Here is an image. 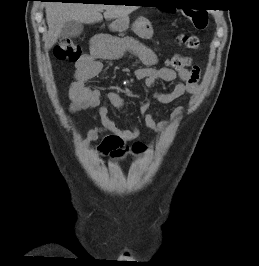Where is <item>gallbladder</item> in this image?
<instances>
[{"instance_id": "obj_1", "label": "gallbladder", "mask_w": 259, "mask_h": 266, "mask_svg": "<svg viewBox=\"0 0 259 266\" xmlns=\"http://www.w3.org/2000/svg\"><path fill=\"white\" fill-rule=\"evenodd\" d=\"M83 31V25L77 21H69L62 28L60 37L71 38L79 36Z\"/></svg>"}]
</instances>
